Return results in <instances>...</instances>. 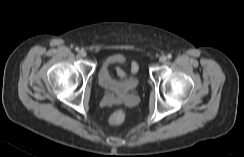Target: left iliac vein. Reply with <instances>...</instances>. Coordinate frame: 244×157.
Wrapping results in <instances>:
<instances>
[{"instance_id":"1","label":"left iliac vein","mask_w":244,"mask_h":157,"mask_svg":"<svg viewBox=\"0 0 244 157\" xmlns=\"http://www.w3.org/2000/svg\"><path fill=\"white\" fill-rule=\"evenodd\" d=\"M159 61L161 62V63H165L166 61H167V57L166 56H161L160 58H159Z\"/></svg>"}]
</instances>
